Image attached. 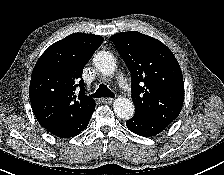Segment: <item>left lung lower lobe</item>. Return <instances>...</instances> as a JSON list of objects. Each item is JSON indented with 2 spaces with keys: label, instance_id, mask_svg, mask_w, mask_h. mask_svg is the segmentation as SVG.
I'll use <instances>...</instances> for the list:
<instances>
[{
  "label": "left lung lower lobe",
  "instance_id": "obj_1",
  "mask_svg": "<svg viewBox=\"0 0 224 175\" xmlns=\"http://www.w3.org/2000/svg\"><path fill=\"white\" fill-rule=\"evenodd\" d=\"M173 120L165 117H146L134 115L126 122L127 128L144 137L154 136L168 127Z\"/></svg>",
  "mask_w": 224,
  "mask_h": 175
}]
</instances>
